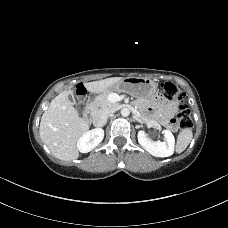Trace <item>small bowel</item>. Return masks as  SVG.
<instances>
[{
    "label": "small bowel",
    "mask_w": 228,
    "mask_h": 228,
    "mask_svg": "<svg viewBox=\"0 0 228 228\" xmlns=\"http://www.w3.org/2000/svg\"><path fill=\"white\" fill-rule=\"evenodd\" d=\"M150 110L158 112V118L162 124L167 125L168 115L174 114L177 110V105L174 102H169L160 95H155L150 99Z\"/></svg>",
    "instance_id": "small-bowel-1"
}]
</instances>
